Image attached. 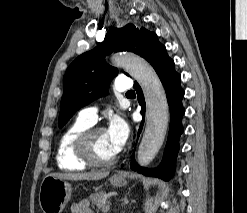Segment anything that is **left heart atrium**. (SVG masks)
<instances>
[{
	"instance_id": "39dd6f15",
	"label": "left heart atrium",
	"mask_w": 247,
	"mask_h": 213,
	"mask_svg": "<svg viewBox=\"0 0 247 213\" xmlns=\"http://www.w3.org/2000/svg\"><path fill=\"white\" fill-rule=\"evenodd\" d=\"M106 135L114 153L117 154L123 149L128 139V124L122 118L115 116L109 122Z\"/></svg>"
}]
</instances>
